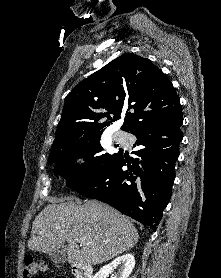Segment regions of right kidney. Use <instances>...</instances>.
<instances>
[{"label": "right kidney", "instance_id": "right-kidney-1", "mask_svg": "<svg viewBox=\"0 0 221 278\" xmlns=\"http://www.w3.org/2000/svg\"><path fill=\"white\" fill-rule=\"evenodd\" d=\"M135 266V258L132 254H125L113 260L109 265L102 267L94 278H107L109 273L117 269L113 278H128Z\"/></svg>", "mask_w": 221, "mask_h": 278}]
</instances>
